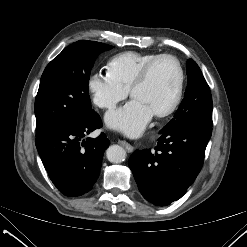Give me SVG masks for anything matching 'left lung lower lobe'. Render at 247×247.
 I'll use <instances>...</instances> for the list:
<instances>
[{
  "label": "left lung lower lobe",
  "instance_id": "0a47b994",
  "mask_svg": "<svg viewBox=\"0 0 247 247\" xmlns=\"http://www.w3.org/2000/svg\"><path fill=\"white\" fill-rule=\"evenodd\" d=\"M211 133L212 127L187 121L161 133L155 153L134 151L129 167L143 197L158 206L181 198L203 166Z\"/></svg>",
  "mask_w": 247,
  "mask_h": 247
}]
</instances>
